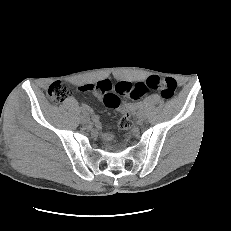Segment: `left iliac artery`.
<instances>
[{
  "mask_svg": "<svg viewBox=\"0 0 231 231\" xmlns=\"http://www.w3.org/2000/svg\"><path fill=\"white\" fill-rule=\"evenodd\" d=\"M144 108H145V103H144L143 101H140V102L138 103L137 109H138L139 111H142Z\"/></svg>",
  "mask_w": 231,
  "mask_h": 231,
  "instance_id": "44dca946",
  "label": "left iliac artery"
}]
</instances>
